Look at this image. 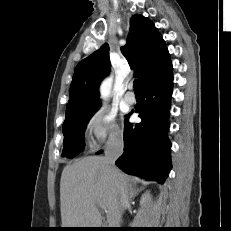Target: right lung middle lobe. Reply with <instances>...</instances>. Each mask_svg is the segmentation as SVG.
Here are the masks:
<instances>
[{
	"mask_svg": "<svg viewBox=\"0 0 231 231\" xmlns=\"http://www.w3.org/2000/svg\"><path fill=\"white\" fill-rule=\"evenodd\" d=\"M98 108L99 106L81 112L66 114L63 123V157L73 158L83 151L86 125Z\"/></svg>",
	"mask_w": 231,
	"mask_h": 231,
	"instance_id": "right-lung-middle-lobe-1",
	"label": "right lung middle lobe"
}]
</instances>
